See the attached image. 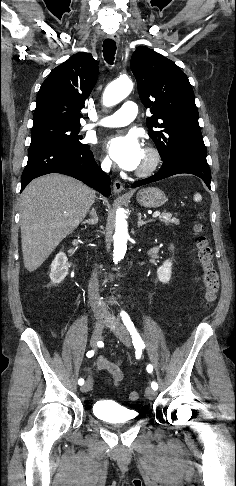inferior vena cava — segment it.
<instances>
[{"label":"inferior vena cava","instance_id":"inferior-vena-cava-1","mask_svg":"<svg viewBox=\"0 0 236 486\" xmlns=\"http://www.w3.org/2000/svg\"><path fill=\"white\" fill-rule=\"evenodd\" d=\"M111 163L112 162L110 160L103 161L101 164L102 170H104L105 172H109ZM88 297L93 311L96 313L99 312L101 309L98 304V300H99L98 279H97V273L95 272L92 273L91 279L89 281Z\"/></svg>","mask_w":236,"mask_h":486}]
</instances>
